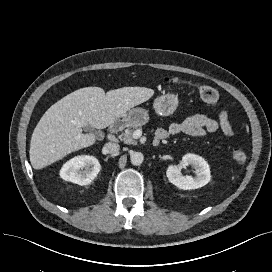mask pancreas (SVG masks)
<instances>
[{
	"label": "pancreas",
	"mask_w": 272,
	"mask_h": 272,
	"mask_svg": "<svg viewBox=\"0 0 272 272\" xmlns=\"http://www.w3.org/2000/svg\"><path fill=\"white\" fill-rule=\"evenodd\" d=\"M136 128L137 126L135 125L129 126L123 133H121L120 139L126 144L135 145L137 142L135 138L133 137V133Z\"/></svg>",
	"instance_id": "cf45deb5"
}]
</instances>
